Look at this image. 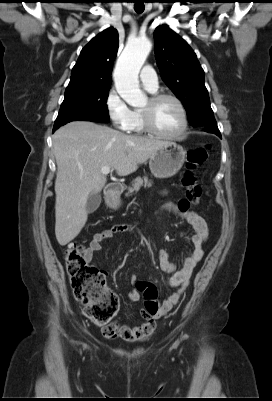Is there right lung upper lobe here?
Instances as JSON below:
<instances>
[{"mask_svg": "<svg viewBox=\"0 0 272 401\" xmlns=\"http://www.w3.org/2000/svg\"><path fill=\"white\" fill-rule=\"evenodd\" d=\"M118 37L117 30L111 27L99 33L82 49L65 92L111 85Z\"/></svg>", "mask_w": 272, "mask_h": 401, "instance_id": "right-lung-upper-lobe-1", "label": "right lung upper lobe"}]
</instances>
